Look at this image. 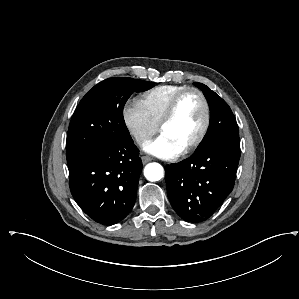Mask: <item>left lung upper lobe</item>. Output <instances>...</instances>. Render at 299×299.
Here are the masks:
<instances>
[{
    "label": "left lung upper lobe",
    "mask_w": 299,
    "mask_h": 299,
    "mask_svg": "<svg viewBox=\"0 0 299 299\" xmlns=\"http://www.w3.org/2000/svg\"><path fill=\"white\" fill-rule=\"evenodd\" d=\"M205 95L210 107V123L207 133L196 151L213 145H229L240 149L236 119L228 104L206 85L194 82Z\"/></svg>",
    "instance_id": "obj_1"
}]
</instances>
